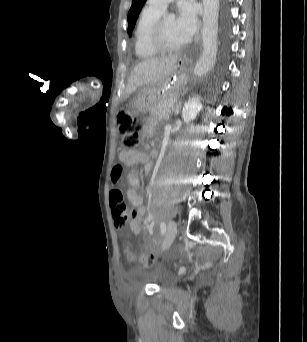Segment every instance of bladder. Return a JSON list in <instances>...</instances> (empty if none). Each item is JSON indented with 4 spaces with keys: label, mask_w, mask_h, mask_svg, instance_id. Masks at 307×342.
Wrapping results in <instances>:
<instances>
[{
    "label": "bladder",
    "mask_w": 307,
    "mask_h": 342,
    "mask_svg": "<svg viewBox=\"0 0 307 342\" xmlns=\"http://www.w3.org/2000/svg\"><path fill=\"white\" fill-rule=\"evenodd\" d=\"M155 283L161 288L168 287L173 283V277L170 275L158 276Z\"/></svg>",
    "instance_id": "bladder-1"
}]
</instances>
